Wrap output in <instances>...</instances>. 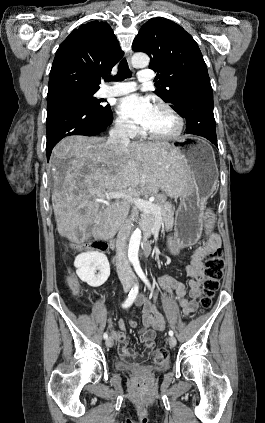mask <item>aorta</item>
Returning <instances> with one entry per match:
<instances>
[{
    "instance_id": "aorta-1",
    "label": "aorta",
    "mask_w": 265,
    "mask_h": 423,
    "mask_svg": "<svg viewBox=\"0 0 265 423\" xmlns=\"http://www.w3.org/2000/svg\"><path fill=\"white\" fill-rule=\"evenodd\" d=\"M150 58L144 53H136L132 56L131 62L134 67H147L149 65ZM141 242V230L135 229L131 234L129 246H128V259L132 264L139 263L138 252Z\"/></svg>"
}]
</instances>
